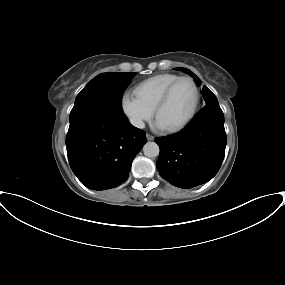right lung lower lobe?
Segmentation results:
<instances>
[{
    "label": "right lung lower lobe",
    "mask_w": 285,
    "mask_h": 285,
    "mask_svg": "<svg viewBox=\"0 0 285 285\" xmlns=\"http://www.w3.org/2000/svg\"><path fill=\"white\" fill-rule=\"evenodd\" d=\"M146 142L145 133L132 126L125 115L102 110L83 113L70 121L66 137L72 171L93 190L111 189L124 182Z\"/></svg>",
    "instance_id": "98d812e1"
}]
</instances>
